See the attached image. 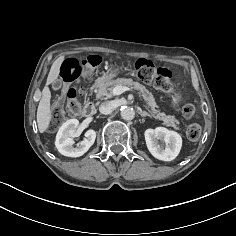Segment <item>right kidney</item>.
Here are the masks:
<instances>
[{
  "instance_id": "right-kidney-1",
  "label": "right kidney",
  "mask_w": 236,
  "mask_h": 236,
  "mask_svg": "<svg viewBox=\"0 0 236 236\" xmlns=\"http://www.w3.org/2000/svg\"><path fill=\"white\" fill-rule=\"evenodd\" d=\"M78 125L79 121L77 119H70L59 128L55 145L58 151L64 156L80 157L85 154L95 142L96 132L90 129L86 131L83 141H81L77 147H74L73 137L77 134Z\"/></svg>"
}]
</instances>
